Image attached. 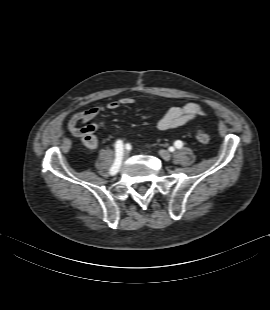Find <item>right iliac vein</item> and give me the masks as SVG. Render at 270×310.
Returning a JSON list of instances; mask_svg holds the SVG:
<instances>
[{"instance_id":"obj_1","label":"right iliac vein","mask_w":270,"mask_h":310,"mask_svg":"<svg viewBox=\"0 0 270 310\" xmlns=\"http://www.w3.org/2000/svg\"><path fill=\"white\" fill-rule=\"evenodd\" d=\"M128 156H129V153H128L127 151H125L124 154H123V158H124V159H127Z\"/></svg>"}]
</instances>
